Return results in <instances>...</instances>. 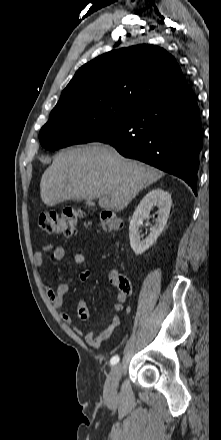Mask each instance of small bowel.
Here are the masks:
<instances>
[{
	"label": "small bowel",
	"instance_id": "c3829d8e",
	"mask_svg": "<svg viewBox=\"0 0 221 440\" xmlns=\"http://www.w3.org/2000/svg\"><path fill=\"white\" fill-rule=\"evenodd\" d=\"M53 250V257L55 260L60 261L64 259L66 250L63 245H59L55 248L52 247L51 244H46L43 246V251H37L34 253L33 260L37 269L41 270L44 265V254L43 252H48ZM73 261L76 264L84 265L86 263V257L81 252H75L73 254ZM90 276V271L88 269H84L79 274V280L81 282L86 281ZM111 281L116 283L115 275L111 276ZM70 292V285L68 283H60L56 289L46 286L45 293L49 300L52 303V307L55 310H59L63 306L64 297ZM126 301V296L121 294L119 291L116 294V302L112 305V318L108 325L99 333L91 330L85 335L86 343L93 347L98 348L102 342L110 338L114 329L119 325L120 319L118 313L121 312L124 308V303ZM89 309L87 303L84 299H79L77 303V317L81 321H86L89 319ZM61 321L64 324L70 325L73 322L71 315L67 312H61L59 314ZM74 332L78 335L82 334V329L79 326H74Z\"/></svg>",
	"mask_w": 221,
	"mask_h": 440
}]
</instances>
